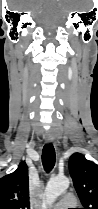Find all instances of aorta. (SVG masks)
<instances>
[{"mask_svg": "<svg viewBox=\"0 0 98 209\" xmlns=\"http://www.w3.org/2000/svg\"><path fill=\"white\" fill-rule=\"evenodd\" d=\"M70 185L67 177H56L49 180L45 188L47 204L52 206L55 200L64 193Z\"/></svg>", "mask_w": 98, "mask_h": 209, "instance_id": "obj_1", "label": "aorta"}]
</instances>
